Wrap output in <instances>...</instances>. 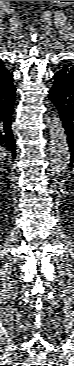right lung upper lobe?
I'll return each instance as SVG.
<instances>
[{
	"label": "right lung upper lobe",
	"instance_id": "1",
	"mask_svg": "<svg viewBox=\"0 0 74 366\" xmlns=\"http://www.w3.org/2000/svg\"><path fill=\"white\" fill-rule=\"evenodd\" d=\"M10 75V71L6 68L4 63L0 59V81L7 79Z\"/></svg>",
	"mask_w": 74,
	"mask_h": 366
}]
</instances>
